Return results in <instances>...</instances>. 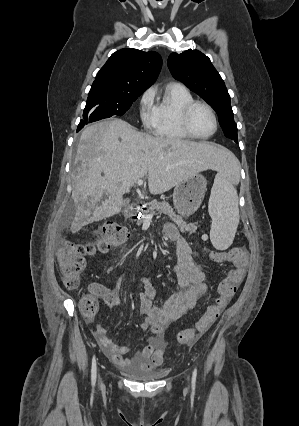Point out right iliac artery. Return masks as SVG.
Returning <instances> with one entry per match:
<instances>
[{
  "mask_svg": "<svg viewBox=\"0 0 299 426\" xmlns=\"http://www.w3.org/2000/svg\"><path fill=\"white\" fill-rule=\"evenodd\" d=\"M96 372H97L96 357L93 356L92 368H91V381L93 386L95 385V382H96Z\"/></svg>",
  "mask_w": 299,
  "mask_h": 426,
  "instance_id": "1",
  "label": "right iliac artery"
}]
</instances>
